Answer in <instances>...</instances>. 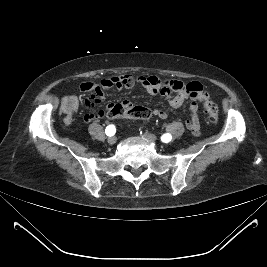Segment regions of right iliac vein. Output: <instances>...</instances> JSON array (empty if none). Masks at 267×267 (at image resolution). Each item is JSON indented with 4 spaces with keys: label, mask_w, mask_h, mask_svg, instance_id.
<instances>
[{
    "label": "right iliac vein",
    "mask_w": 267,
    "mask_h": 267,
    "mask_svg": "<svg viewBox=\"0 0 267 267\" xmlns=\"http://www.w3.org/2000/svg\"><path fill=\"white\" fill-rule=\"evenodd\" d=\"M117 141V138L115 136L109 137L107 142L109 145H114Z\"/></svg>",
    "instance_id": "right-iliac-vein-1"
}]
</instances>
